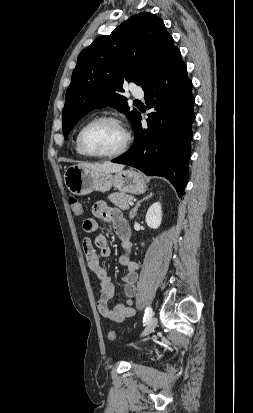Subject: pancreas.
<instances>
[{"label":"pancreas","mask_w":253,"mask_h":413,"mask_svg":"<svg viewBox=\"0 0 253 413\" xmlns=\"http://www.w3.org/2000/svg\"><path fill=\"white\" fill-rule=\"evenodd\" d=\"M108 199L121 210H128L129 202L133 200V196L123 192H115L110 194Z\"/></svg>","instance_id":"pancreas-1"}]
</instances>
